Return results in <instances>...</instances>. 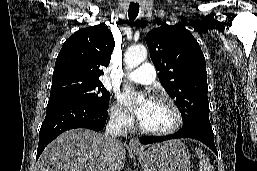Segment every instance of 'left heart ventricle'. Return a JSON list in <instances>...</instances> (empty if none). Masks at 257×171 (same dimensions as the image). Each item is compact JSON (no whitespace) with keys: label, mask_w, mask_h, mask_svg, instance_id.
<instances>
[{"label":"left heart ventricle","mask_w":257,"mask_h":171,"mask_svg":"<svg viewBox=\"0 0 257 171\" xmlns=\"http://www.w3.org/2000/svg\"><path fill=\"white\" fill-rule=\"evenodd\" d=\"M175 116L171 108L163 103L153 102L145 116L140 120L146 128L163 130L173 125Z\"/></svg>","instance_id":"1"}]
</instances>
